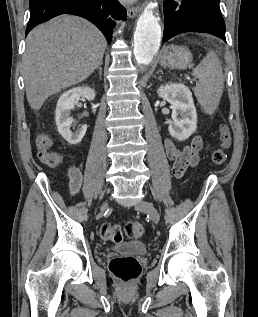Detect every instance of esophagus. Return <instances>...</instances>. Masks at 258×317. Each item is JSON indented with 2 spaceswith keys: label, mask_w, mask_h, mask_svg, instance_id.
<instances>
[{
  "label": "esophagus",
  "mask_w": 258,
  "mask_h": 317,
  "mask_svg": "<svg viewBox=\"0 0 258 317\" xmlns=\"http://www.w3.org/2000/svg\"><path fill=\"white\" fill-rule=\"evenodd\" d=\"M141 12V7L140 6H136V7H128L127 8V14L130 18H134L137 15H139V13Z\"/></svg>",
  "instance_id": "esophagus-1"
}]
</instances>
